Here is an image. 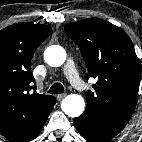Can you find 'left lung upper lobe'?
<instances>
[{"label":"left lung upper lobe","instance_id":"left-lung-upper-lobe-1","mask_svg":"<svg viewBox=\"0 0 142 142\" xmlns=\"http://www.w3.org/2000/svg\"><path fill=\"white\" fill-rule=\"evenodd\" d=\"M64 29L79 46L87 78L97 79L93 90L85 93L84 114L102 128L119 133L138 99L141 70L132 41L121 28L98 18L69 23Z\"/></svg>","mask_w":142,"mask_h":142}]
</instances>
